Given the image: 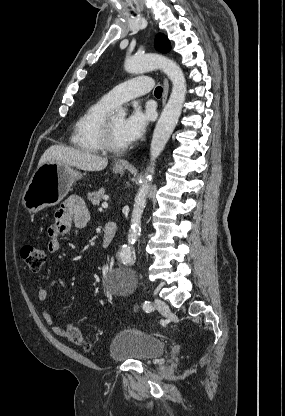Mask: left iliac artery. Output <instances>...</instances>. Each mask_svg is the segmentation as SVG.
Masks as SVG:
<instances>
[{
	"mask_svg": "<svg viewBox=\"0 0 285 416\" xmlns=\"http://www.w3.org/2000/svg\"><path fill=\"white\" fill-rule=\"evenodd\" d=\"M143 309H144L146 312H151V311L153 310V307H152L151 302H150V301H145V302L143 303Z\"/></svg>",
	"mask_w": 285,
	"mask_h": 416,
	"instance_id": "44dca946",
	"label": "left iliac artery"
}]
</instances>
